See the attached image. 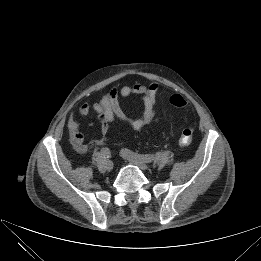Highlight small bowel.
Masks as SVG:
<instances>
[{
	"label": "small bowel",
	"mask_w": 261,
	"mask_h": 261,
	"mask_svg": "<svg viewBox=\"0 0 261 261\" xmlns=\"http://www.w3.org/2000/svg\"><path fill=\"white\" fill-rule=\"evenodd\" d=\"M158 93L159 85L156 82L148 85L135 82L121 87H113L98 102L83 103L79 108V115L85 118L91 111L98 115L101 125V138L97 140V144H102L110 126L115 121L128 125L134 132H139L144 127L156 123ZM132 95L140 96L144 105L142 116L135 120L130 119L126 115L120 103L121 98H128ZM67 128L75 149L79 153H85L88 147L84 143V136L80 131V123L73 115L67 121Z\"/></svg>",
	"instance_id": "small-bowel-1"
}]
</instances>
